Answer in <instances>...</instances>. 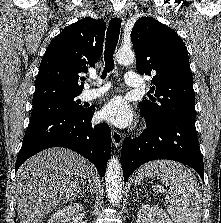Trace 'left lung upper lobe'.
I'll return each mask as SVG.
<instances>
[{
	"label": "left lung upper lobe",
	"instance_id": "5c2ea615",
	"mask_svg": "<svg viewBox=\"0 0 221 223\" xmlns=\"http://www.w3.org/2000/svg\"><path fill=\"white\" fill-rule=\"evenodd\" d=\"M136 69L143 75L154 74L150 100L140 103L142 116L160 122L174 115L196 116L192 74L188 52L178 34L161 22L139 18L132 29Z\"/></svg>",
	"mask_w": 221,
	"mask_h": 223
}]
</instances>
